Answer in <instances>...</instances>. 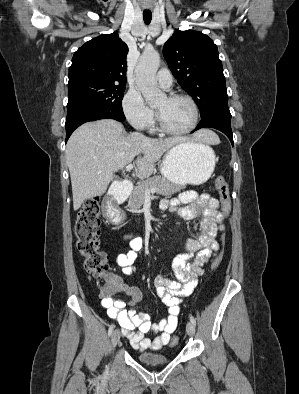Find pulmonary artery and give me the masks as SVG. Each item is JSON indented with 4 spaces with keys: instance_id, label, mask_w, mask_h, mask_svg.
I'll return each mask as SVG.
<instances>
[{
    "instance_id": "e3ab8cb5",
    "label": "pulmonary artery",
    "mask_w": 299,
    "mask_h": 394,
    "mask_svg": "<svg viewBox=\"0 0 299 394\" xmlns=\"http://www.w3.org/2000/svg\"><path fill=\"white\" fill-rule=\"evenodd\" d=\"M157 81L160 87L169 90L172 86V74L168 69H161L157 74Z\"/></svg>"
}]
</instances>
